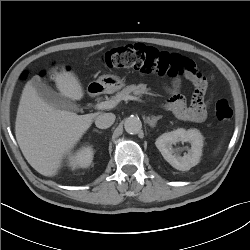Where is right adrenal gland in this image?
<instances>
[{
	"label": "right adrenal gland",
	"mask_w": 250,
	"mask_h": 250,
	"mask_svg": "<svg viewBox=\"0 0 250 250\" xmlns=\"http://www.w3.org/2000/svg\"><path fill=\"white\" fill-rule=\"evenodd\" d=\"M94 131L98 132V133H102V132H99L97 129H95Z\"/></svg>",
	"instance_id": "obj_1"
}]
</instances>
